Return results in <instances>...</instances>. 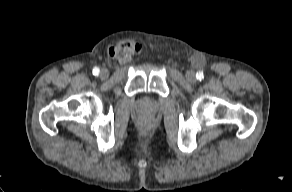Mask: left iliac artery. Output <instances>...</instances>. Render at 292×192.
<instances>
[{
    "mask_svg": "<svg viewBox=\"0 0 292 192\" xmlns=\"http://www.w3.org/2000/svg\"><path fill=\"white\" fill-rule=\"evenodd\" d=\"M196 78L199 79V80H202V79L204 78L203 73H202V72H198V73L196 74Z\"/></svg>",
    "mask_w": 292,
    "mask_h": 192,
    "instance_id": "44dca946",
    "label": "left iliac artery"
}]
</instances>
